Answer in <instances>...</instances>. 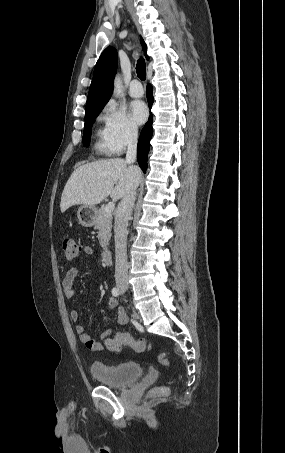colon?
<instances>
[{
	"label": "colon",
	"mask_w": 285,
	"mask_h": 453,
	"mask_svg": "<svg viewBox=\"0 0 285 453\" xmlns=\"http://www.w3.org/2000/svg\"><path fill=\"white\" fill-rule=\"evenodd\" d=\"M63 250L65 258L68 261L75 260L80 255L79 244L71 238L64 239ZM106 347L112 353H120L124 346L132 348L137 353H144L151 350V344L145 339H134L128 333L118 332L113 337L106 338ZM158 360L165 366L169 365V361L165 353L158 354ZM153 393L157 396H166L169 393V389L166 386H160L153 390Z\"/></svg>",
	"instance_id": "colon-1"
}]
</instances>
